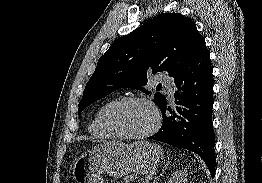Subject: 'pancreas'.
<instances>
[{
  "mask_svg": "<svg viewBox=\"0 0 262 183\" xmlns=\"http://www.w3.org/2000/svg\"><path fill=\"white\" fill-rule=\"evenodd\" d=\"M134 177L133 176H127L123 179V181L118 182V183H130L131 181H133Z\"/></svg>",
  "mask_w": 262,
  "mask_h": 183,
  "instance_id": "pancreas-1",
  "label": "pancreas"
}]
</instances>
